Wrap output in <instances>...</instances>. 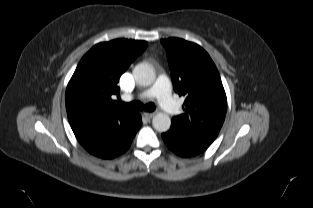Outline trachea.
<instances>
[{
  "label": "trachea",
  "mask_w": 313,
  "mask_h": 208,
  "mask_svg": "<svg viewBox=\"0 0 313 208\" xmlns=\"http://www.w3.org/2000/svg\"><path fill=\"white\" fill-rule=\"evenodd\" d=\"M127 107L135 109V110H145L148 112H153L155 110V105L153 103H148L143 105L141 102L134 101L130 103H124Z\"/></svg>",
  "instance_id": "1"
}]
</instances>
